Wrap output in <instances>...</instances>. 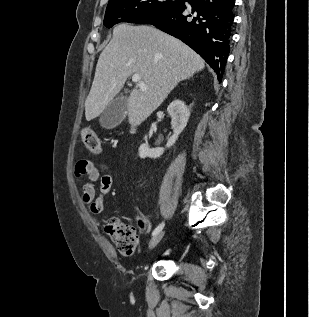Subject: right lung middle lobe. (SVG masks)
<instances>
[{"label": "right lung middle lobe", "mask_w": 309, "mask_h": 317, "mask_svg": "<svg viewBox=\"0 0 309 317\" xmlns=\"http://www.w3.org/2000/svg\"><path fill=\"white\" fill-rule=\"evenodd\" d=\"M186 0H109L104 25L111 28L120 22L136 23L155 13L171 10Z\"/></svg>", "instance_id": "1"}]
</instances>
